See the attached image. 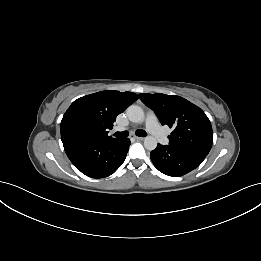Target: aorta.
Listing matches in <instances>:
<instances>
[{"label":"aorta","instance_id":"762f6f07","mask_svg":"<svg viewBox=\"0 0 261 261\" xmlns=\"http://www.w3.org/2000/svg\"><path fill=\"white\" fill-rule=\"evenodd\" d=\"M127 117L131 122L141 123L144 121V112L141 107L137 105H131L126 111ZM144 147L147 150H154L157 147V140L153 136H147L144 139Z\"/></svg>","mask_w":261,"mask_h":261}]
</instances>
